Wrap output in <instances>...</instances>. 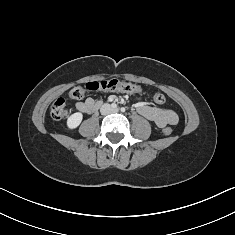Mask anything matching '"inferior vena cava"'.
<instances>
[{
	"instance_id": "602c4592",
	"label": "inferior vena cava",
	"mask_w": 235,
	"mask_h": 235,
	"mask_svg": "<svg viewBox=\"0 0 235 235\" xmlns=\"http://www.w3.org/2000/svg\"><path fill=\"white\" fill-rule=\"evenodd\" d=\"M100 111H101L102 114L105 115V114H108L109 112H111L112 110L109 109V110L107 111V110L105 109V106H102Z\"/></svg>"
}]
</instances>
